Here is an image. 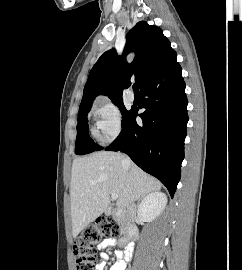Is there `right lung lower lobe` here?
Listing matches in <instances>:
<instances>
[{
	"instance_id": "right-lung-lower-lobe-1",
	"label": "right lung lower lobe",
	"mask_w": 242,
	"mask_h": 270,
	"mask_svg": "<svg viewBox=\"0 0 242 270\" xmlns=\"http://www.w3.org/2000/svg\"><path fill=\"white\" fill-rule=\"evenodd\" d=\"M181 67L173 61L141 89L142 125L137 110L122 125L120 135L105 148L123 151L145 172L157 177L173 197L180 179L186 137L187 98Z\"/></svg>"
}]
</instances>
